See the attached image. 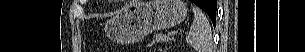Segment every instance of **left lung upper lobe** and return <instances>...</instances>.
<instances>
[{
  "instance_id": "obj_1",
  "label": "left lung upper lobe",
  "mask_w": 305,
  "mask_h": 52,
  "mask_svg": "<svg viewBox=\"0 0 305 52\" xmlns=\"http://www.w3.org/2000/svg\"><path fill=\"white\" fill-rule=\"evenodd\" d=\"M202 1H203V0H198V2H200V3H201Z\"/></svg>"
}]
</instances>
